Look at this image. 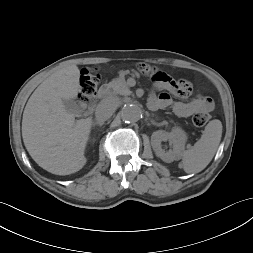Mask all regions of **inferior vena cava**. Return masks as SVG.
<instances>
[{
  "mask_svg": "<svg viewBox=\"0 0 253 253\" xmlns=\"http://www.w3.org/2000/svg\"><path fill=\"white\" fill-rule=\"evenodd\" d=\"M116 106L114 102L109 100H104L96 108L95 116L96 120L104 122L109 119L115 112Z\"/></svg>",
  "mask_w": 253,
  "mask_h": 253,
  "instance_id": "1",
  "label": "inferior vena cava"
}]
</instances>
